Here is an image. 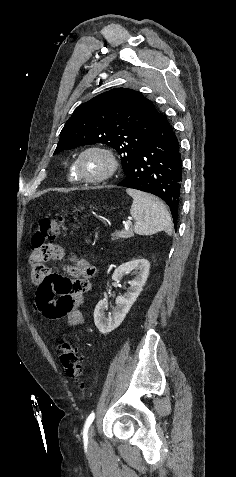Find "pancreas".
I'll return each mask as SVG.
<instances>
[{"mask_svg": "<svg viewBox=\"0 0 236 477\" xmlns=\"http://www.w3.org/2000/svg\"><path fill=\"white\" fill-rule=\"evenodd\" d=\"M111 236H112V238H111L112 241H116V240H119V239H127V238H130V237H133L134 233H133L132 228H130L128 230L115 232Z\"/></svg>", "mask_w": 236, "mask_h": 477, "instance_id": "pancreas-1", "label": "pancreas"}]
</instances>
